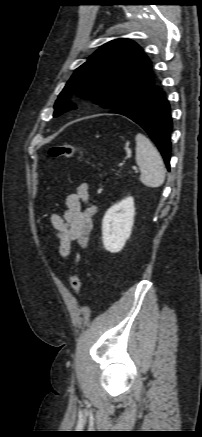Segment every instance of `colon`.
I'll return each instance as SVG.
<instances>
[{
    "label": "colon",
    "instance_id": "1",
    "mask_svg": "<svg viewBox=\"0 0 202 437\" xmlns=\"http://www.w3.org/2000/svg\"><path fill=\"white\" fill-rule=\"evenodd\" d=\"M78 154L80 157L84 156V152L81 148L70 145H56L49 149V155L51 157H65L69 158ZM70 286L74 294H78L81 290V278L75 273L70 278Z\"/></svg>",
    "mask_w": 202,
    "mask_h": 437
}]
</instances>
